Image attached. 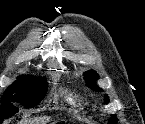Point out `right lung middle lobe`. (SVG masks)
I'll return each mask as SVG.
<instances>
[{
	"label": "right lung middle lobe",
	"instance_id": "right-lung-middle-lobe-1",
	"mask_svg": "<svg viewBox=\"0 0 145 124\" xmlns=\"http://www.w3.org/2000/svg\"><path fill=\"white\" fill-rule=\"evenodd\" d=\"M47 91V82L44 77L26 75L19 77L5 91L0 107V123L18 112L13 102H18L29 108L34 107L43 99Z\"/></svg>",
	"mask_w": 145,
	"mask_h": 124
}]
</instances>
